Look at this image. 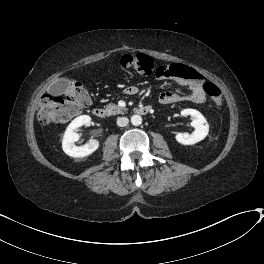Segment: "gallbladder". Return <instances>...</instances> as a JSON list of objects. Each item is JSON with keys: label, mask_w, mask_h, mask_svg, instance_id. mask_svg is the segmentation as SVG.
<instances>
[{"label": "gallbladder", "mask_w": 264, "mask_h": 264, "mask_svg": "<svg viewBox=\"0 0 264 264\" xmlns=\"http://www.w3.org/2000/svg\"><path fill=\"white\" fill-rule=\"evenodd\" d=\"M70 85L71 81L69 79L62 78L51 86L50 91L54 94L63 93Z\"/></svg>", "instance_id": "obj_1"}]
</instances>
